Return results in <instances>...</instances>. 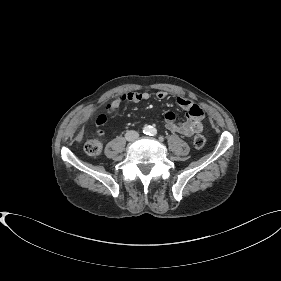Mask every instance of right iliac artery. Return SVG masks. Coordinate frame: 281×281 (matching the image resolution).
<instances>
[{"label": "right iliac artery", "mask_w": 281, "mask_h": 281, "mask_svg": "<svg viewBox=\"0 0 281 281\" xmlns=\"http://www.w3.org/2000/svg\"><path fill=\"white\" fill-rule=\"evenodd\" d=\"M144 134H149V128L148 127H145L144 130H143Z\"/></svg>", "instance_id": "82829eb1"}]
</instances>
